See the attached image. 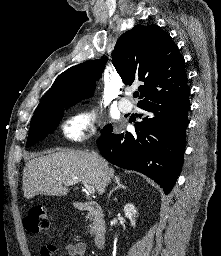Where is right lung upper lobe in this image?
Listing matches in <instances>:
<instances>
[{"label": "right lung upper lobe", "mask_w": 221, "mask_h": 256, "mask_svg": "<svg viewBox=\"0 0 221 256\" xmlns=\"http://www.w3.org/2000/svg\"><path fill=\"white\" fill-rule=\"evenodd\" d=\"M106 57L64 71L46 92L38 107L59 98L80 101L93 95ZM112 63L126 85L141 81L138 106L145 101L189 91L185 61L170 35L157 25H135L117 41Z\"/></svg>", "instance_id": "obj_1"}]
</instances>
